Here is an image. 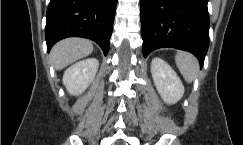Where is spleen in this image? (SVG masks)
Wrapping results in <instances>:
<instances>
[{
	"label": "spleen",
	"mask_w": 243,
	"mask_h": 145,
	"mask_svg": "<svg viewBox=\"0 0 243 145\" xmlns=\"http://www.w3.org/2000/svg\"><path fill=\"white\" fill-rule=\"evenodd\" d=\"M175 61L185 81L191 83L199 72V63L197 59L190 53L178 51Z\"/></svg>",
	"instance_id": "1"
}]
</instances>
